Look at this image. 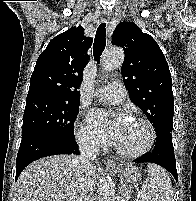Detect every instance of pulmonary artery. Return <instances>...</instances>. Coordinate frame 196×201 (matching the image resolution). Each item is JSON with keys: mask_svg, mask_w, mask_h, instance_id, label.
<instances>
[{"mask_svg": "<svg viewBox=\"0 0 196 201\" xmlns=\"http://www.w3.org/2000/svg\"><path fill=\"white\" fill-rule=\"evenodd\" d=\"M96 97L112 104H120L126 98V88L121 82H113L95 93Z\"/></svg>", "mask_w": 196, "mask_h": 201, "instance_id": "pulmonary-artery-1", "label": "pulmonary artery"}]
</instances>
